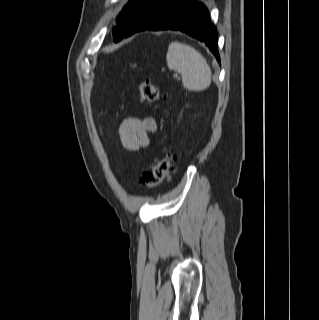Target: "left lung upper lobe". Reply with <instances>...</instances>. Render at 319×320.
<instances>
[{
  "instance_id": "left-lung-upper-lobe-1",
  "label": "left lung upper lobe",
  "mask_w": 319,
  "mask_h": 320,
  "mask_svg": "<svg viewBox=\"0 0 319 320\" xmlns=\"http://www.w3.org/2000/svg\"><path fill=\"white\" fill-rule=\"evenodd\" d=\"M158 0H131L119 14L113 28V40L120 41L125 37L126 33L149 8H151Z\"/></svg>"
}]
</instances>
